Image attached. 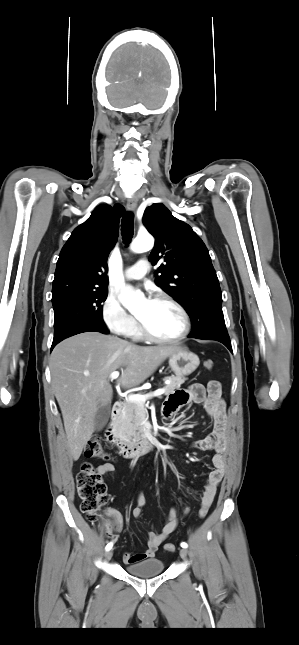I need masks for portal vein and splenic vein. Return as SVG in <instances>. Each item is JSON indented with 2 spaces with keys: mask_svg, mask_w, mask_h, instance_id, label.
Wrapping results in <instances>:
<instances>
[{
  "mask_svg": "<svg viewBox=\"0 0 299 645\" xmlns=\"http://www.w3.org/2000/svg\"><path fill=\"white\" fill-rule=\"evenodd\" d=\"M118 377H119V372L118 371L112 372L109 375V379L111 381L117 379ZM164 392H165L164 389H158V390H156V391H154L152 393L145 394V395L133 394V395H129L128 397H126V400L131 401V402H136V403H139V404H144L146 402V400H148V399H150L152 397L160 396V395L164 394Z\"/></svg>",
  "mask_w": 299,
  "mask_h": 645,
  "instance_id": "18ae733b",
  "label": "portal vein and splenic vein"
}]
</instances>
